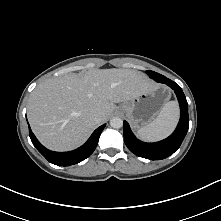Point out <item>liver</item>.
Here are the masks:
<instances>
[{"label": "liver", "mask_w": 221, "mask_h": 221, "mask_svg": "<svg viewBox=\"0 0 221 221\" xmlns=\"http://www.w3.org/2000/svg\"><path fill=\"white\" fill-rule=\"evenodd\" d=\"M155 87L145 74L132 69H92L50 78L31 93L28 121L45 147L72 150L108 119L116 103L129 101ZM97 113L101 115L100 122L94 120Z\"/></svg>", "instance_id": "liver-1"}]
</instances>
